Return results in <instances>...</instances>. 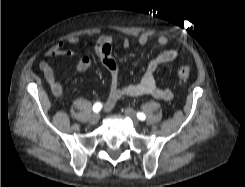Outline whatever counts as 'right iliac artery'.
Wrapping results in <instances>:
<instances>
[{
  "mask_svg": "<svg viewBox=\"0 0 245 187\" xmlns=\"http://www.w3.org/2000/svg\"><path fill=\"white\" fill-rule=\"evenodd\" d=\"M101 108H102L101 103L100 102H97L93 106V111L96 112V113H98L101 110Z\"/></svg>",
  "mask_w": 245,
  "mask_h": 187,
  "instance_id": "82829eb1",
  "label": "right iliac artery"
}]
</instances>
